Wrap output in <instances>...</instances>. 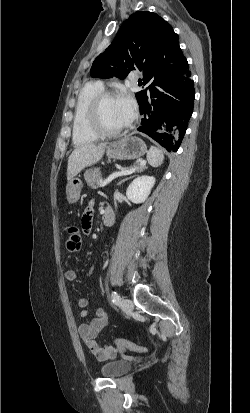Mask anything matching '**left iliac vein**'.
I'll use <instances>...</instances> for the list:
<instances>
[{"label":"left iliac vein","instance_id":"4c4485c4","mask_svg":"<svg viewBox=\"0 0 250 413\" xmlns=\"http://www.w3.org/2000/svg\"><path fill=\"white\" fill-rule=\"evenodd\" d=\"M120 306L124 312H131L133 310V302L130 299H122Z\"/></svg>","mask_w":250,"mask_h":413}]
</instances>
